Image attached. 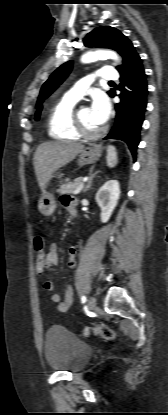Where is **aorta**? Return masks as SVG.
<instances>
[{
	"label": "aorta",
	"instance_id": "762f6f07",
	"mask_svg": "<svg viewBox=\"0 0 168 415\" xmlns=\"http://www.w3.org/2000/svg\"><path fill=\"white\" fill-rule=\"evenodd\" d=\"M102 59H113L117 62L120 61L118 54L111 50H96L93 52H87L82 56L81 61L83 63H91Z\"/></svg>",
	"mask_w": 168,
	"mask_h": 415
}]
</instances>
